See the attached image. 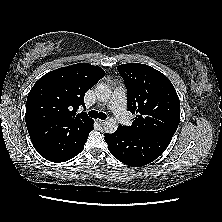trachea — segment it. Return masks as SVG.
<instances>
[{
    "label": "trachea",
    "mask_w": 222,
    "mask_h": 222,
    "mask_svg": "<svg viewBox=\"0 0 222 222\" xmlns=\"http://www.w3.org/2000/svg\"><path fill=\"white\" fill-rule=\"evenodd\" d=\"M88 114L91 118H95V119L99 118L101 120H105L107 118V115L105 113L97 112L95 110H91Z\"/></svg>",
    "instance_id": "1"
}]
</instances>
